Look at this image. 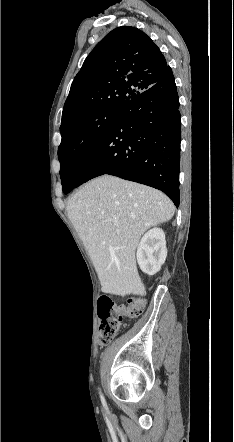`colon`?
Listing matches in <instances>:
<instances>
[{"label":"colon","instance_id":"5ec220e1","mask_svg":"<svg viewBox=\"0 0 234 442\" xmlns=\"http://www.w3.org/2000/svg\"><path fill=\"white\" fill-rule=\"evenodd\" d=\"M145 305L146 300L139 297L129 299L127 305H116L110 298L101 297L98 301L100 344H109L119 332L123 319L137 318L142 314Z\"/></svg>","mask_w":234,"mask_h":442}]
</instances>
